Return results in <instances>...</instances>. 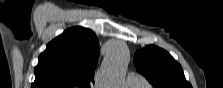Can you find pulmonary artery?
Instances as JSON below:
<instances>
[{"label":"pulmonary artery","instance_id":"pulmonary-artery-1","mask_svg":"<svg viewBox=\"0 0 223 88\" xmlns=\"http://www.w3.org/2000/svg\"><path fill=\"white\" fill-rule=\"evenodd\" d=\"M126 84H127L129 87H132V88H138V87L146 86V85H147V81H146V79H145L142 75H140V74H137V73H130V74L127 76Z\"/></svg>","mask_w":223,"mask_h":88}]
</instances>
